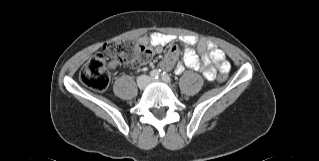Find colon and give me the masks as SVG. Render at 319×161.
<instances>
[{
  "instance_id": "colon-1",
  "label": "colon",
  "mask_w": 319,
  "mask_h": 161,
  "mask_svg": "<svg viewBox=\"0 0 319 161\" xmlns=\"http://www.w3.org/2000/svg\"><path fill=\"white\" fill-rule=\"evenodd\" d=\"M151 52L133 41H110L101 52L95 53L80 69L79 79L86 87L105 90L110 82V63L125 64L132 67L147 65ZM227 80L226 73H220L219 82Z\"/></svg>"
}]
</instances>
